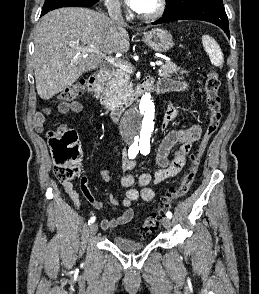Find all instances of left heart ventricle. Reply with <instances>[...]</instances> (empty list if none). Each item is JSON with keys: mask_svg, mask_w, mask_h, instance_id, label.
Listing matches in <instances>:
<instances>
[{"mask_svg": "<svg viewBox=\"0 0 259 294\" xmlns=\"http://www.w3.org/2000/svg\"><path fill=\"white\" fill-rule=\"evenodd\" d=\"M158 0H145L141 8L137 11L141 14H148L153 12L158 5Z\"/></svg>", "mask_w": 259, "mask_h": 294, "instance_id": "1", "label": "left heart ventricle"}]
</instances>
